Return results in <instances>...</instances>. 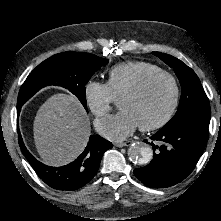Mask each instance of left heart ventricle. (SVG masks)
<instances>
[{
    "label": "left heart ventricle",
    "mask_w": 221,
    "mask_h": 221,
    "mask_svg": "<svg viewBox=\"0 0 221 221\" xmlns=\"http://www.w3.org/2000/svg\"><path fill=\"white\" fill-rule=\"evenodd\" d=\"M172 94L171 83L165 78H158L142 93L119 98L118 106L131 112L139 125H147L156 122L167 112Z\"/></svg>",
    "instance_id": "1"
}]
</instances>
